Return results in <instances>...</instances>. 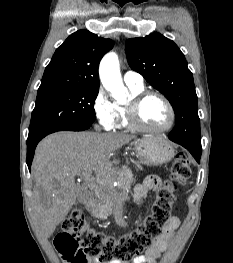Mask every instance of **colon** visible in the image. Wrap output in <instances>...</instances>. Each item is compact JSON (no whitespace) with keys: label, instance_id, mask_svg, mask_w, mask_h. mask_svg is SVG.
Returning a JSON list of instances; mask_svg holds the SVG:
<instances>
[{"label":"colon","instance_id":"colon-1","mask_svg":"<svg viewBox=\"0 0 233 263\" xmlns=\"http://www.w3.org/2000/svg\"><path fill=\"white\" fill-rule=\"evenodd\" d=\"M188 156L179 153L171 174L154 202L150 214L133 231L115 237L92 228L80 210L72 212L56 237L55 246L70 263H89L99 259L104 263L118 260L121 263L142 256L152 242L161 236L162 228L176 211L177 190L190 177Z\"/></svg>","mask_w":233,"mask_h":263}]
</instances>
